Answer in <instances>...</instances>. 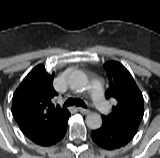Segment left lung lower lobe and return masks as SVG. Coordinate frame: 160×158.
<instances>
[{
	"label": "left lung lower lobe",
	"instance_id": "1",
	"mask_svg": "<svg viewBox=\"0 0 160 158\" xmlns=\"http://www.w3.org/2000/svg\"><path fill=\"white\" fill-rule=\"evenodd\" d=\"M134 135L111 127L103 122L102 126L91 133L92 140L104 148H117L129 142Z\"/></svg>",
	"mask_w": 160,
	"mask_h": 158
}]
</instances>
